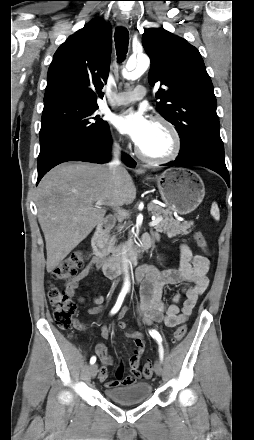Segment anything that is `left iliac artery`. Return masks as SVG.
<instances>
[{"instance_id":"1","label":"left iliac artery","mask_w":254,"mask_h":440,"mask_svg":"<svg viewBox=\"0 0 254 440\" xmlns=\"http://www.w3.org/2000/svg\"><path fill=\"white\" fill-rule=\"evenodd\" d=\"M149 333L159 344L160 360L162 361L163 360V348L161 345L162 338L156 330H150Z\"/></svg>"}]
</instances>
